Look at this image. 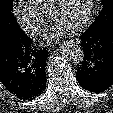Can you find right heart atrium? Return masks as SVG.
Wrapping results in <instances>:
<instances>
[{"instance_id":"1","label":"right heart atrium","mask_w":113,"mask_h":113,"mask_svg":"<svg viewBox=\"0 0 113 113\" xmlns=\"http://www.w3.org/2000/svg\"><path fill=\"white\" fill-rule=\"evenodd\" d=\"M14 14L21 27L31 36H37L43 30L47 15L42 14L27 3L14 4Z\"/></svg>"}]
</instances>
